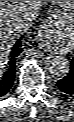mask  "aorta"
I'll return each mask as SVG.
<instances>
[{"label":"aorta","instance_id":"aorta-1","mask_svg":"<svg viewBox=\"0 0 74 122\" xmlns=\"http://www.w3.org/2000/svg\"><path fill=\"white\" fill-rule=\"evenodd\" d=\"M47 70L56 76H64L70 71V64L66 57L49 56L46 60Z\"/></svg>","mask_w":74,"mask_h":122}]
</instances>
